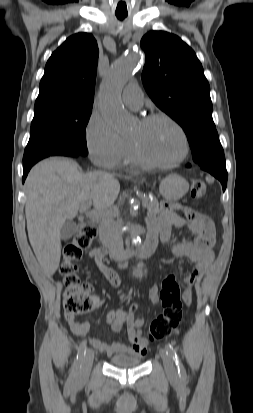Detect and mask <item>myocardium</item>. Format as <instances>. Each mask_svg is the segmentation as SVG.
<instances>
[{
  "label": "myocardium",
  "mask_w": 253,
  "mask_h": 413,
  "mask_svg": "<svg viewBox=\"0 0 253 413\" xmlns=\"http://www.w3.org/2000/svg\"><path fill=\"white\" fill-rule=\"evenodd\" d=\"M157 120H164L168 122L176 129V131L180 135L181 140H182V151L179 157L175 159L174 161H171L168 163H160V162L153 161L149 159L143 153L142 149L140 148V146L138 145L136 141L130 140V144L132 146L134 154L141 164L151 167V168L171 169V168L177 167L185 161L189 153V140H188L187 134L184 131L183 127L175 119H173L172 117L164 113H154V114L145 116L140 120V123L146 125V124H149Z\"/></svg>",
  "instance_id": "obj_1"
}]
</instances>
